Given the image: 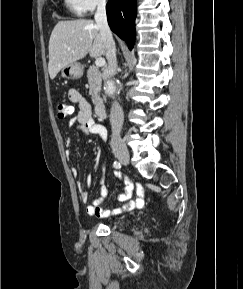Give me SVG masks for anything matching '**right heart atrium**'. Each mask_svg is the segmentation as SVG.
<instances>
[{
    "label": "right heart atrium",
    "instance_id": "d8ad5b80",
    "mask_svg": "<svg viewBox=\"0 0 243 289\" xmlns=\"http://www.w3.org/2000/svg\"><path fill=\"white\" fill-rule=\"evenodd\" d=\"M67 6L80 14L90 13L107 4L108 0H65Z\"/></svg>",
    "mask_w": 243,
    "mask_h": 289
}]
</instances>
